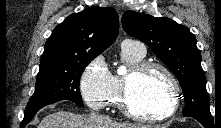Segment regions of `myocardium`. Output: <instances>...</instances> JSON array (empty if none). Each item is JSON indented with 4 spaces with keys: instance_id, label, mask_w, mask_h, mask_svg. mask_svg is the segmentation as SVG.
Instances as JSON below:
<instances>
[{
    "instance_id": "1",
    "label": "myocardium",
    "mask_w": 221,
    "mask_h": 128,
    "mask_svg": "<svg viewBox=\"0 0 221 128\" xmlns=\"http://www.w3.org/2000/svg\"><path fill=\"white\" fill-rule=\"evenodd\" d=\"M160 70L167 78L170 85V102L168 108L161 113L147 115L136 112L130 105L129 97L131 92V84L135 79L143 76L150 70ZM180 103V89L175 75L165 65L158 62H142L130 69L129 73L124 77L121 88L120 109L130 119L146 122H160L172 116L178 109Z\"/></svg>"
}]
</instances>
